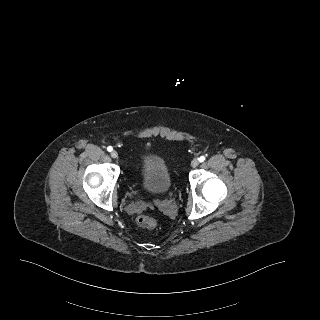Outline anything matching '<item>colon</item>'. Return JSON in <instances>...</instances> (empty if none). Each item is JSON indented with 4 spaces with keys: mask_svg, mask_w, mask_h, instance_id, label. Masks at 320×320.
Segmentation results:
<instances>
[{
    "mask_svg": "<svg viewBox=\"0 0 320 320\" xmlns=\"http://www.w3.org/2000/svg\"><path fill=\"white\" fill-rule=\"evenodd\" d=\"M136 222L142 228L153 229L156 227V220L147 215L138 216Z\"/></svg>",
    "mask_w": 320,
    "mask_h": 320,
    "instance_id": "obj_1",
    "label": "colon"
}]
</instances>
